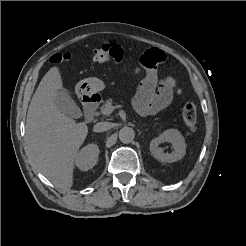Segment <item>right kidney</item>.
<instances>
[{"mask_svg": "<svg viewBox=\"0 0 246 246\" xmlns=\"http://www.w3.org/2000/svg\"><path fill=\"white\" fill-rule=\"evenodd\" d=\"M99 147L96 144H88L77 154L75 164L82 171L93 168L98 161Z\"/></svg>", "mask_w": 246, "mask_h": 246, "instance_id": "obj_1", "label": "right kidney"}]
</instances>
